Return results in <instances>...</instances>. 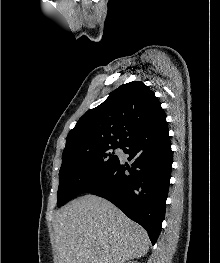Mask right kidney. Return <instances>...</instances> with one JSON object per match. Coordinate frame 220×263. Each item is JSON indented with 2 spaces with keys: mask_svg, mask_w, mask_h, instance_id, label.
I'll return each instance as SVG.
<instances>
[{
  "mask_svg": "<svg viewBox=\"0 0 220 263\" xmlns=\"http://www.w3.org/2000/svg\"><path fill=\"white\" fill-rule=\"evenodd\" d=\"M127 263H139L137 261H128Z\"/></svg>",
  "mask_w": 220,
  "mask_h": 263,
  "instance_id": "ca27d5eb",
  "label": "right kidney"
}]
</instances>
